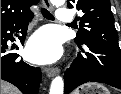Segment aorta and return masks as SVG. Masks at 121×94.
<instances>
[{
  "instance_id": "obj_1",
  "label": "aorta",
  "mask_w": 121,
  "mask_h": 94,
  "mask_svg": "<svg viewBox=\"0 0 121 94\" xmlns=\"http://www.w3.org/2000/svg\"><path fill=\"white\" fill-rule=\"evenodd\" d=\"M52 4L55 6H63L65 0H51ZM64 92V81L62 77L57 76L53 79L50 87L49 94H63Z\"/></svg>"
}]
</instances>
